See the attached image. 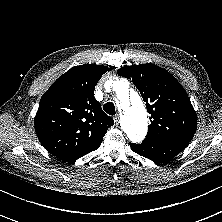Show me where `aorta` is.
<instances>
[{"label": "aorta", "mask_w": 222, "mask_h": 222, "mask_svg": "<svg viewBox=\"0 0 222 222\" xmlns=\"http://www.w3.org/2000/svg\"><path fill=\"white\" fill-rule=\"evenodd\" d=\"M115 91L123 111V129L128 138L134 142H141L147 133L148 119L146 109L138 97L130 100V89L127 82L118 81Z\"/></svg>", "instance_id": "aorta-1"}]
</instances>
